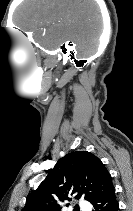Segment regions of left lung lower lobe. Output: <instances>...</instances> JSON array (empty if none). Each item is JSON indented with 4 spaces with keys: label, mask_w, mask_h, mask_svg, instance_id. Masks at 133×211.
<instances>
[{
    "label": "left lung lower lobe",
    "mask_w": 133,
    "mask_h": 211,
    "mask_svg": "<svg viewBox=\"0 0 133 211\" xmlns=\"http://www.w3.org/2000/svg\"><path fill=\"white\" fill-rule=\"evenodd\" d=\"M94 211H118L119 204L116 199L114 186L92 203Z\"/></svg>",
    "instance_id": "obj_1"
}]
</instances>
